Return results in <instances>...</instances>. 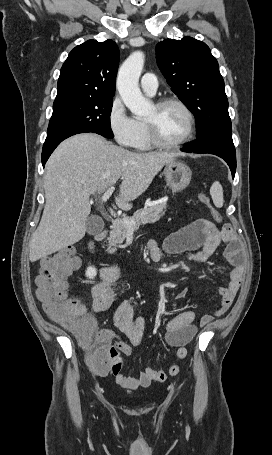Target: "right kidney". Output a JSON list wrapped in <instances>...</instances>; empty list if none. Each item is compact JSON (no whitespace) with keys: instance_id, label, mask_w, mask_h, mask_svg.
I'll use <instances>...</instances> for the list:
<instances>
[{"instance_id":"right-kidney-1","label":"right kidney","mask_w":272,"mask_h":455,"mask_svg":"<svg viewBox=\"0 0 272 455\" xmlns=\"http://www.w3.org/2000/svg\"><path fill=\"white\" fill-rule=\"evenodd\" d=\"M96 275H97V270L94 267L89 266L86 270V276L89 279H94Z\"/></svg>"}]
</instances>
